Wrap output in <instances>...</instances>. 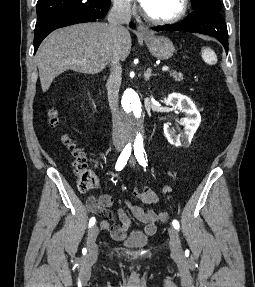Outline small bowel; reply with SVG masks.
I'll list each match as a JSON object with an SVG mask.
<instances>
[{
    "mask_svg": "<svg viewBox=\"0 0 255 287\" xmlns=\"http://www.w3.org/2000/svg\"><path fill=\"white\" fill-rule=\"evenodd\" d=\"M170 189L164 187L161 193L155 192L149 186H140L134 190L135 198L142 204L155 205L160 198V194H165ZM113 199L110 195L103 194L99 197H89L87 207L90 212L100 215L103 219L100 221L102 229L108 231L116 239H122L130 230L131 216L144 224V230L147 234H154L157 230L158 214L151 209H145L133 203H126L125 207H120L117 216L120 224L114 223V215L110 210Z\"/></svg>",
    "mask_w": 255,
    "mask_h": 287,
    "instance_id": "small-bowel-1",
    "label": "small bowel"
}]
</instances>
